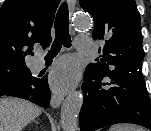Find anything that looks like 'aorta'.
I'll use <instances>...</instances> for the list:
<instances>
[{
    "label": "aorta",
    "instance_id": "obj_1",
    "mask_svg": "<svg viewBox=\"0 0 151 131\" xmlns=\"http://www.w3.org/2000/svg\"><path fill=\"white\" fill-rule=\"evenodd\" d=\"M74 28L86 30L90 26V19L85 14L78 15L73 21ZM83 104V93L74 91L64 100L61 107V124L64 131H77L78 115Z\"/></svg>",
    "mask_w": 151,
    "mask_h": 131
}]
</instances>
